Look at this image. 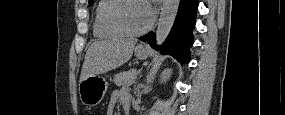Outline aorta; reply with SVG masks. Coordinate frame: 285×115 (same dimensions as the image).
<instances>
[{
    "instance_id": "aorta-1",
    "label": "aorta",
    "mask_w": 285,
    "mask_h": 115,
    "mask_svg": "<svg viewBox=\"0 0 285 115\" xmlns=\"http://www.w3.org/2000/svg\"><path fill=\"white\" fill-rule=\"evenodd\" d=\"M180 0H163L156 30V43L161 45L167 38L177 15Z\"/></svg>"
}]
</instances>
